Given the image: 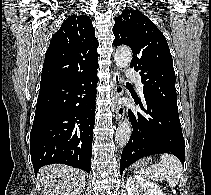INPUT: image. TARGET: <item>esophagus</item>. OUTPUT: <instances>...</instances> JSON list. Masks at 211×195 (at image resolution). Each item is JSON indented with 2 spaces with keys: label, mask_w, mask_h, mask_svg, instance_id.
I'll list each match as a JSON object with an SVG mask.
<instances>
[{
  "label": "esophagus",
  "mask_w": 211,
  "mask_h": 195,
  "mask_svg": "<svg viewBox=\"0 0 211 195\" xmlns=\"http://www.w3.org/2000/svg\"><path fill=\"white\" fill-rule=\"evenodd\" d=\"M113 82H114V91H113V108L116 115V120L120 121L125 114V108L120 104V99L123 96V80L118 69H115L113 72Z\"/></svg>",
  "instance_id": "esophagus-1"
}]
</instances>
